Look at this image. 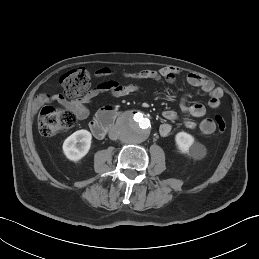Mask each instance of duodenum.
<instances>
[{"label":"duodenum","mask_w":259,"mask_h":259,"mask_svg":"<svg viewBox=\"0 0 259 259\" xmlns=\"http://www.w3.org/2000/svg\"><path fill=\"white\" fill-rule=\"evenodd\" d=\"M118 112L113 108H105L99 111L90 124L92 134L96 138H102L113 125Z\"/></svg>","instance_id":"obj_1"}]
</instances>
